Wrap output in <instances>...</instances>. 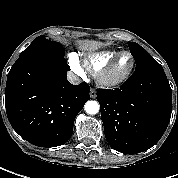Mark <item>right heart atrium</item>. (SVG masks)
<instances>
[{
	"label": "right heart atrium",
	"instance_id": "obj_1",
	"mask_svg": "<svg viewBox=\"0 0 178 178\" xmlns=\"http://www.w3.org/2000/svg\"><path fill=\"white\" fill-rule=\"evenodd\" d=\"M70 64L75 70H79L80 69L79 66H78L77 60H76V58L74 56L70 57Z\"/></svg>",
	"mask_w": 178,
	"mask_h": 178
}]
</instances>
